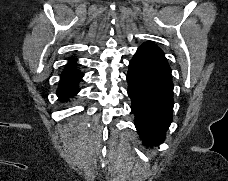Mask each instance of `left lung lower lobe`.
Here are the masks:
<instances>
[{"instance_id":"0a47b994","label":"left lung lower lobe","mask_w":228,"mask_h":181,"mask_svg":"<svg viewBox=\"0 0 228 181\" xmlns=\"http://www.w3.org/2000/svg\"><path fill=\"white\" fill-rule=\"evenodd\" d=\"M127 82L136 129L145 145L157 146L165 139L174 105L171 68L163 51L142 44L130 61Z\"/></svg>"}]
</instances>
